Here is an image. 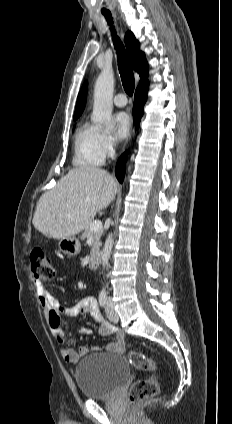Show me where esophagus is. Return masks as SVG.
<instances>
[{"mask_svg": "<svg viewBox=\"0 0 232 424\" xmlns=\"http://www.w3.org/2000/svg\"><path fill=\"white\" fill-rule=\"evenodd\" d=\"M133 132H134V128L131 129V134H133Z\"/></svg>", "mask_w": 232, "mask_h": 424, "instance_id": "1", "label": "esophagus"}]
</instances>
